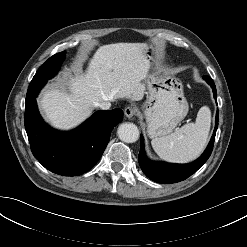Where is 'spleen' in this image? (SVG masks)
Here are the masks:
<instances>
[{
  "label": "spleen",
  "instance_id": "3e777b00",
  "mask_svg": "<svg viewBox=\"0 0 247 247\" xmlns=\"http://www.w3.org/2000/svg\"><path fill=\"white\" fill-rule=\"evenodd\" d=\"M211 125V111L203 106L194 123H188L168 136L156 137L151 141L157 155L168 162L187 163L196 159L207 144Z\"/></svg>",
  "mask_w": 247,
  "mask_h": 247
}]
</instances>
